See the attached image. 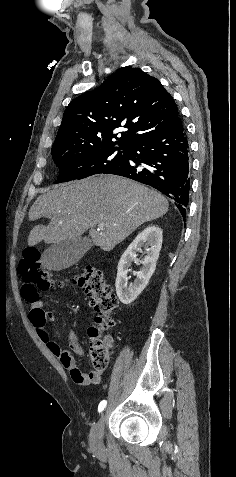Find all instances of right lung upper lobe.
<instances>
[{
	"instance_id": "cb5924a9",
	"label": "right lung upper lobe",
	"mask_w": 236,
	"mask_h": 477,
	"mask_svg": "<svg viewBox=\"0 0 236 477\" xmlns=\"http://www.w3.org/2000/svg\"><path fill=\"white\" fill-rule=\"evenodd\" d=\"M177 118L172 96L156 78L139 68L123 67L67 106L52 156L88 148L124 152L132 143L170 128ZM118 127L125 128L120 138L113 135Z\"/></svg>"
}]
</instances>
